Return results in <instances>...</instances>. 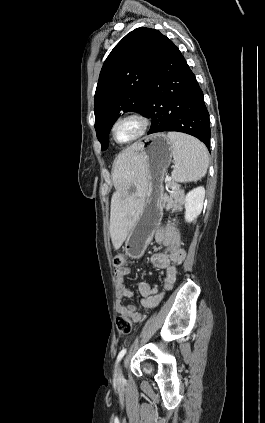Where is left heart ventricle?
I'll use <instances>...</instances> for the list:
<instances>
[{
	"label": "left heart ventricle",
	"instance_id": "obj_1",
	"mask_svg": "<svg viewBox=\"0 0 265 423\" xmlns=\"http://www.w3.org/2000/svg\"><path fill=\"white\" fill-rule=\"evenodd\" d=\"M138 131V124L135 121L121 123L116 130L117 137L121 141L131 139Z\"/></svg>",
	"mask_w": 265,
	"mask_h": 423
}]
</instances>
